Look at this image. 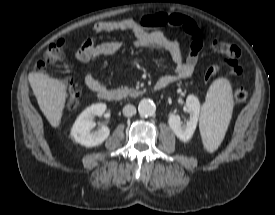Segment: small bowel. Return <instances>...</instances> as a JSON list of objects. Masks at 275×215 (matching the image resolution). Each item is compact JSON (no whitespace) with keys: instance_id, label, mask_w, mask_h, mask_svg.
<instances>
[{"instance_id":"small-bowel-1","label":"small bowel","mask_w":275,"mask_h":215,"mask_svg":"<svg viewBox=\"0 0 275 215\" xmlns=\"http://www.w3.org/2000/svg\"><path fill=\"white\" fill-rule=\"evenodd\" d=\"M166 17L165 14L157 13L144 15L139 21L130 18L102 21L94 24L91 33L92 36H96L103 32L131 31L134 35V47L160 49L167 52L175 64V71L174 74L165 75L160 79H165L171 84L176 80L187 79L193 74L203 47V41L196 26V32L190 34V53L184 59L181 48L176 41L160 31L153 30L166 25ZM123 46L121 41L96 43L94 38H91L76 50L75 56L79 61L87 63L101 56L115 54L121 51ZM84 83L96 93L105 89V86L90 71L84 74Z\"/></svg>"}]
</instances>
